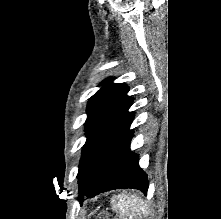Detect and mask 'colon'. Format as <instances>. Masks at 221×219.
I'll return each mask as SVG.
<instances>
[{
	"mask_svg": "<svg viewBox=\"0 0 221 219\" xmlns=\"http://www.w3.org/2000/svg\"><path fill=\"white\" fill-rule=\"evenodd\" d=\"M95 219H111V217L107 213H101Z\"/></svg>",
	"mask_w": 221,
	"mask_h": 219,
	"instance_id": "colon-1",
	"label": "colon"
}]
</instances>
